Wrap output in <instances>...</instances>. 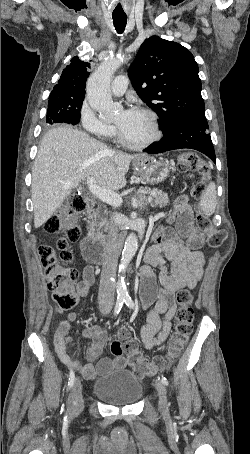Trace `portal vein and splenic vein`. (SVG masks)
I'll return each instance as SVG.
<instances>
[{"instance_id":"18ae733b","label":"portal vein and splenic vein","mask_w":250,"mask_h":454,"mask_svg":"<svg viewBox=\"0 0 250 454\" xmlns=\"http://www.w3.org/2000/svg\"><path fill=\"white\" fill-rule=\"evenodd\" d=\"M87 186L90 193L102 202H105L113 207H120L122 205L123 200L119 194L99 187L93 177L87 178ZM144 192V190L139 191V193Z\"/></svg>"}]
</instances>
